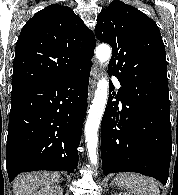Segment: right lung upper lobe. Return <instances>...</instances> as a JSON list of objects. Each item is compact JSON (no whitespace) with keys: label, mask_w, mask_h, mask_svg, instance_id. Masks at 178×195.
Wrapping results in <instances>:
<instances>
[{"label":"right lung upper lobe","mask_w":178,"mask_h":195,"mask_svg":"<svg viewBox=\"0 0 178 195\" xmlns=\"http://www.w3.org/2000/svg\"><path fill=\"white\" fill-rule=\"evenodd\" d=\"M96 40L71 8L52 4L22 28L16 43L12 89L69 77L92 65Z\"/></svg>","instance_id":"obj_1"}]
</instances>
